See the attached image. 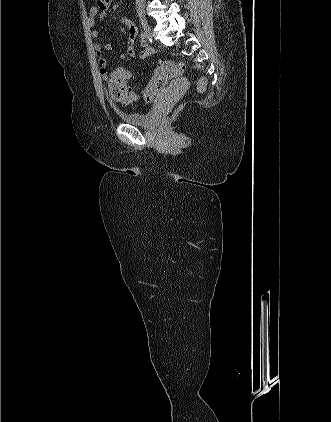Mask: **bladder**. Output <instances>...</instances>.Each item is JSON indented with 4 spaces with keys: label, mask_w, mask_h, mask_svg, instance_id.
<instances>
[{
    "label": "bladder",
    "mask_w": 331,
    "mask_h": 422,
    "mask_svg": "<svg viewBox=\"0 0 331 422\" xmlns=\"http://www.w3.org/2000/svg\"><path fill=\"white\" fill-rule=\"evenodd\" d=\"M163 98H157L147 111H119L121 119L131 125L140 127L154 126L159 114V104Z\"/></svg>",
    "instance_id": "bladder-1"
}]
</instances>
